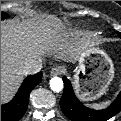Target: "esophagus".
<instances>
[{
	"instance_id": "obj_1",
	"label": "esophagus",
	"mask_w": 121,
	"mask_h": 121,
	"mask_svg": "<svg viewBox=\"0 0 121 121\" xmlns=\"http://www.w3.org/2000/svg\"><path fill=\"white\" fill-rule=\"evenodd\" d=\"M64 66L56 65L51 69V76H58L64 72Z\"/></svg>"
}]
</instances>
